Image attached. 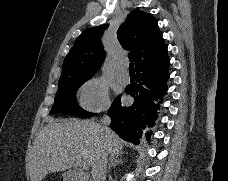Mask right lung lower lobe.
<instances>
[{
    "instance_id": "98d812e1",
    "label": "right lung lower lobe",
    "mask_w": 228,
    "mask_h": 181,
    "mask_svg": "<svg viewBox=\"0 0 228 181\" xmlns=\"http://www.w3.org/2000/svg\"><path fill=\"white\" fill-rule=\"evenodd\" d=\"M169 64L165 46L135 67L137 82L125 89L134 98L133 104L122 105L120 97L113 102L109 110L111 129L125 141L138 144L142 129L153 126L159 109L158 102L167 89ZM145 135L149 138L148 131Z\"/></svg>"
}]
</instances>
